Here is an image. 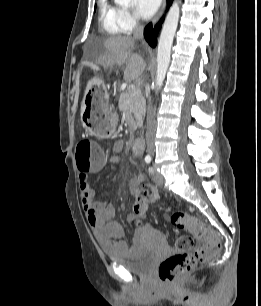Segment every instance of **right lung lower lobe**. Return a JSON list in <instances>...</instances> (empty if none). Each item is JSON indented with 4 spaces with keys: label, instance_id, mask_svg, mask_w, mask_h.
I'll list each match as a JSON object with an SVG mask.
<instances>
[{
    "label": "right lung lower lobe",
    "instance_id": "obj_1",
    "mask_svg": "<svg viewBox=\"0 0 261 306\" xmlns=\"http://www.w3.org/2000/svg\"><path fill=\"white\" fill-rule=\"evenodd\" d=\"M173 0H167V3H168V6L171 5ZM161 23H162V20L155 26V29L152 30V24L150 23L149 25H147L144 29V36L146 38V40L148 41V43L152 46V47H155L156 45V36H157V33L160 29V26H161Z\"/></svg>",
    "mask_w": 261,
    "mask_h": 306
}]
</instances>
